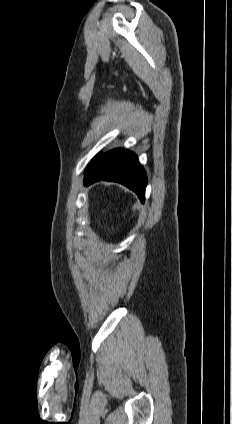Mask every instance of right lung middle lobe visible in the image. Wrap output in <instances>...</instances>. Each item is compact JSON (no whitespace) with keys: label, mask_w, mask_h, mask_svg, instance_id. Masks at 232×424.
<instances>
[{"label":"right lung middle lobe","mask_w":232,"mask_h":424,"mask_svg":"<svg viewBox=\"0 0 232 424\" xmlns=\"http://www.w3.org/2000/svg\"><path fill=\"white\" fill-rule=\"evenodd\" d=\"M95 159H96V157L92 160V162H93ZM92 162H91V163H92ZM91 163H90V164H91Z\"/></svg>","instance_id":"obj_1"}]
</instances>
